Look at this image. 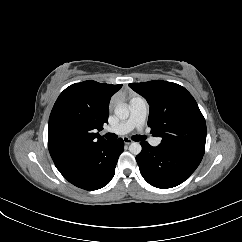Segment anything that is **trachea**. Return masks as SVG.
<instances>
[{
  "mask_svg": "<svg viewBox=\"0 0 242 242\" xmlns=\"http://www.w3.org/2000/svg\"><path fill=\"white\" fill-rule=\"evenodd\" d=\"M107 140H115L117 138V136L115 134L112 133H107L104 136ZM134 141H142L146 139V136H142V135H136L132 138Z\"/></svg>",
  "mask_w": 242,
  "mask_h": 242,
  "instance_id": "obj_1",
  "label": "trachea"
}]
</instances>
